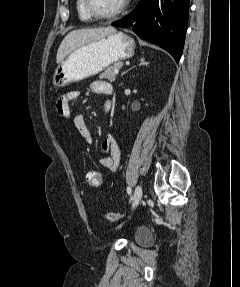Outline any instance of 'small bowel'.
Instances as JSON below:
<instances>
[{
    "mask_svg": "<svg viewBox=\"0 0 240 287\" xmlns=\"http://www.w3.org/2000/svg\"><path fill=\"white\" fill-rule=\"evenodd\" d=\"M92 92L103 95L106 97L111 96L113 89L111 84L106 81L97 80L91 84ZM79 96V92L70 91L66 94L61 95L56 102V110L58 114L65 119H72L74 126L76 127L80 136L89 144L93 142L92 134L85 122V119L81 113L77 110H73L71 107V102L76 100ZM110 107V101L107 99L102 108L107 111ZM100 151L105 154L100 160L99 164L112 172H115L120 164V159L122 155L121 148L115 141L112 135H107L101 142ZM106 153H109L106 155Z\"/></svg>",
    "mask_w": 240,
    "mask_h": 287,
    "instance_id": "obj_1",
    "label": "small bowel"
}]
</instances>
